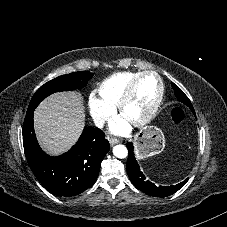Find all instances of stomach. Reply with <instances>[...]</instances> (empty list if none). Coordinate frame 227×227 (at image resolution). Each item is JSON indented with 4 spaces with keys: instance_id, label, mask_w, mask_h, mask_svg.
Segmentation results:
<instances>
[{
    "instance_id": "stomach-1",
    "label": "stomach",
    "mask_w": 227,
    "mask_h": 227,
    "mask_svg": "<svg viewBox=\"0 0 227 227\" xmlns=\"http://www.w3.org/2000/svg\"><path fill=\"white\" fill-rule=\"evenodd\" d=\"M134 145L137 157L145 159L163 151L165 137L158 127L148 126L136 134Z\"/></svg>"
}]
</instances>
